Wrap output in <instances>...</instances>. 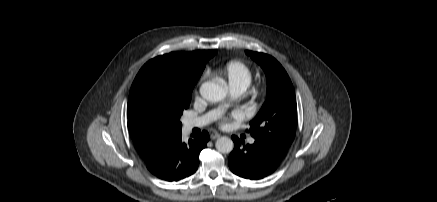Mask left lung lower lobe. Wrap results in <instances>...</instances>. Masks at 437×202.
Masks as SVG:
<instances>
[{
    "mask_svg": "<svg viewBox=\"0 0 437 202\" xmlns=\"http://www.w3.org/2000/svg\"><path fill=\"white\" fill-rule=\"evenodd\" d=\"M234 149L228 163L230 170L245 179L258 180L272 174L280 165L282 158L255 141L244 145L238 137L232 136Z\"/></svg>",
    "mask_w": 437,
    "mask_h": 202,
    "instance_id": "0a47b994",
    "label": "left lung lower lobe"
}]
</instances>
